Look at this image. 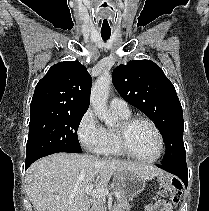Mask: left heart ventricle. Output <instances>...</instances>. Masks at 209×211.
<instances>
[{"mask_svg": "<svg viewBox=\"0 0 209 211\" xmlns=\"http://www.w3.org/2000/svg\"><path fill=\"white\" fill-rule=\"evenodd\" d=\"M129 147L140 158L150 159L156 156L159 142L153 128L146 123L136 124L129 134Z\"/></svg>", "mask_w": 209, "mask_h": 211, "instance_id": "b2bd125f", "label": "left heart ventricle"}]
</instances>
